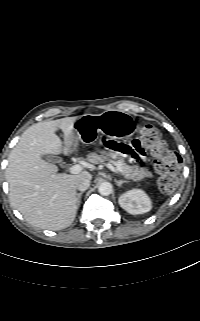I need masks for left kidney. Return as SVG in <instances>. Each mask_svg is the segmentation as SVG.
<instances>
[{
  "label": "left kidney",
  "instance_id": "obj_1",
  "mask_svg": "<svg viewBox=\"0 0 200 321\" xmlns=\"http://www.w3.org/2000/svg\"><path fill=\"white\" fill-rule=\"evenodd\" d=\"M118 202L128 213L137 215L149 212L152 208L150 198L140 189H132L122 194Z\"/></svg>",
  "mask_w": 200,
  "mask_h": 321
}]
</instances>
